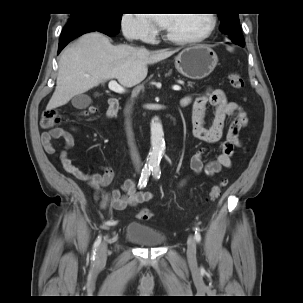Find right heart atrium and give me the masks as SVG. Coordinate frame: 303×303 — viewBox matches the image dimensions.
Segmentation results:
<instances>
[{
	"label": "right heart atrium",
	"mask_w": 303,
	"mask_h": 303,
	"mask_svg": "<svg viewBox=\"0 0 303 303\" xmlns=\"http://www.w3.org/2000/svg\"><path fill=\"white\" fill-rule=\"evenodd\" d=\"M120 27L126 36L141 41H149L152 35V26L139 14L122 16Z\"/></svg>",
	"instance_id": "right-heart-atrium-1"
}]
</instances>
